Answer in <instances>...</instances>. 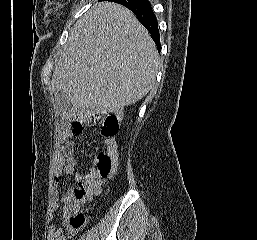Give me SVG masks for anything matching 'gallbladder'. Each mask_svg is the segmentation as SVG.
Masks as SVG:
<instances>
[{
    "label": "gallbladder",
    "mask_w": 257,
    "mask_h": 240,
    "mask_svg": "<svg viewBox=\"0 0 257 240\" xmlns=\"http://www.w3.org/2000/svg\"><path fill=\"white\" fill-rule=\"evenodd\" d=\"M54 108L59 115L67 116L72 110V104L66 95L58 94L55 96Z\"/></svg>",
    "instance_id": "obj_1"
}]
</instances>
